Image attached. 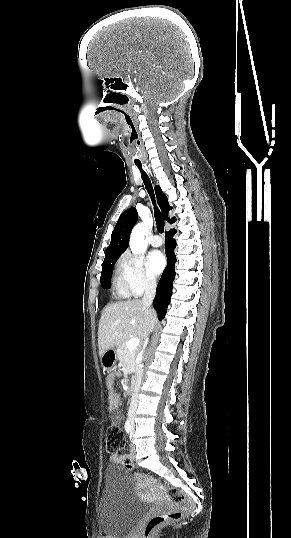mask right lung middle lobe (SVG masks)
Returning <instances> with one entry per match:
<instances>
[{"mask_svg":"<svg viewBox=\"0 0 291 538\" xmlns=\"http://www.w3.org/2000/svg\"><path fill=\"white\" fill-rule=\"evenodd\" d=\"M117 259H111L106 262H103L102 264V272H101V284L104 288H110V277L113 270V265L115 264Z\"/></svg>","mask_w":291,"mask_h":538,"instance_id":"obj_1","label":"right lung middle lobe"}]
</instances>
